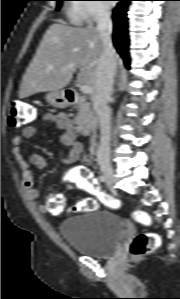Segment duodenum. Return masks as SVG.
I'll return each mask as SVG.
<instances>
[{
  "instance_id": "1",
  "label": "duodenum",
  "mask_w": 180,
  "mask_h": 299,
  "mask_svg": "<svg viewBox=\"0 0 180 299\" xmlns=\"http://www.w3.org/2000/svg\"><path fill=\"white\" fill-rule=\"evenodd\" d=\"M65 98L69 105L83 103L85 101L84 97H82L76 90L68 89L65 91ZM80 131L84 135H89L93 132L94 126L87 122H80L79 124Z\"/></svg>"
}]
</instances>
